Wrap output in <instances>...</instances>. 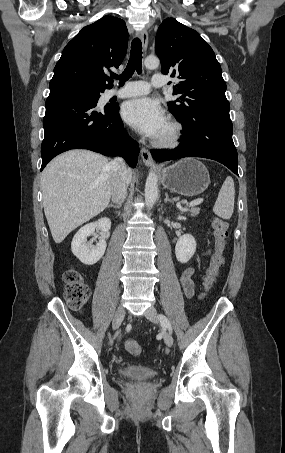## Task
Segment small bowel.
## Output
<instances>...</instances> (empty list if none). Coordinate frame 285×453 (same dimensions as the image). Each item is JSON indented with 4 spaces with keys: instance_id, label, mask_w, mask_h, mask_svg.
I'll list each match as a JSON object with an SVG mask.
<instances>
[{
    "instance_id": "c3829d8e",
    "label": "small bowel",
    "mask_w": 285,
    "mask_h": 453,
    "mask_svg": "<svg viewBox=\"0 0 285 453\" xmlns=\"http://www.w3.org/2000/svg\"><path fill=\"white\" fill-rule=\"evenodd\" d=\"M210 251H206L204 254L208 255ZM194 268L192 266H188L185 268L180 276V284L182 286V289L184 291V294L186 297L190 298L194 294V281H193V275H194Z\"/></svg>"
}]
</instances>
